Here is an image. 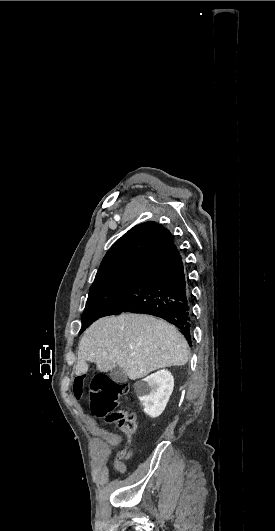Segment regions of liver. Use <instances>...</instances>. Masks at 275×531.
<instances>
[{
  "label": "liver",
  "instance_id": "6515ba94",
  "mask_svg": "<svg viewBox=\"0 0 275 531\" xmlns=\"http://www.w3.org/2000/svg\"><path fill=\"white\" fill-rule=\"evenodd\" d=\"M188 359V343L173 325L151 315L126 313L99 319L85 331L75 375H85L90 361L103 373L119 365L135 381L156 369L186 365Z\"/></svg>",
  "mask_w": 275,
  "mask_h": 531
}]
</instances>
